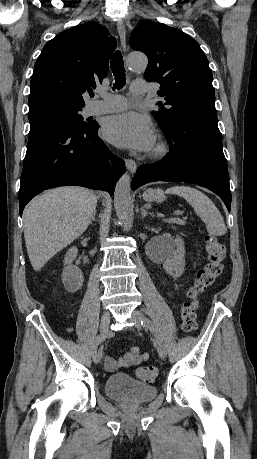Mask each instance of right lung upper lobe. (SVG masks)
Wrapping results in <instances>:
<instances>
[{
	"label": "right lung upper lobe",
	"instance_id": "obj_1",
	"mask_svg": "<svg viewBox=\"0 0 257 459\" xmlns=\"http://www.w3.org/2000/svg\"><path fill=\"white\" fill-rule=\"evenodd\" d=\"M116 46L106 28L93 23L59 33L43 48L30 82V112L53 107H83V94L106 77Z\"/></svg>",
	"mask_w": 257,
	"mask_h": 459
}]
</instances>
